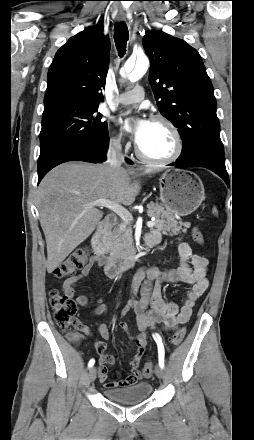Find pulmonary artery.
Listing matches in <instances>:
<instances>
[{"label": "pulmonary artery", "mask_w": 254, "mask_h": 440, "mask_svg": "<svg viewBox=\"0 0 254 440\" xmlns=\"http://www.w3.org/2000/svg\"><path fill=\"white\" fill-rule=\"evenodd\" d=\"M145 93L142 86H136L132 90L120 94L116 98L119 104L137 103L144 99Z\"/></svg>", "instance_id": "pulmonary-artery-1"}]
</instances>
